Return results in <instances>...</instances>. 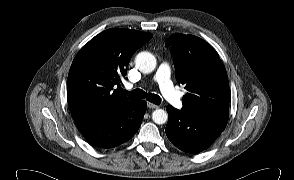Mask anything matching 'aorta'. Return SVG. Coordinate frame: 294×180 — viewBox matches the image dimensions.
Returning <instances> with one entry per match:
<instances>
[{"label": "aorta", "mask_w": 294, "mask_h": 180, "mask_svg": "<svg viewBox=\"0 0 294 180\" xmlns=\"http://www.w3.org/2000/svg\"><path fill=\"white\" fill-rule=\"evenodd\" d=\"M135 64L142 73H150L156 68V58L153 54L143 51L136 55ZM152 119L156 124H164L168 120V114L163 109H156L152 113Z\"/></svg>", "instance_id": "aorta-1"}]
</instances>
